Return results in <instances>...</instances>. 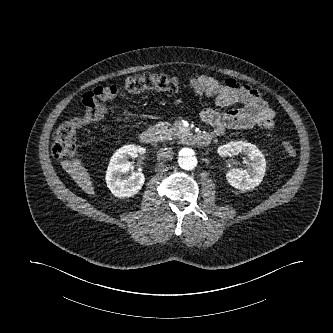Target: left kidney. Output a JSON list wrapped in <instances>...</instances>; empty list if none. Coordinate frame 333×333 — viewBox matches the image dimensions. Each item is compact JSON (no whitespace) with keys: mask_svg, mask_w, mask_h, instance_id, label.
Here are the masks:
<instances>
[{"mask_svg":"<svg viewBox=\"0 0 333 333\" xmlns=\"http://www.w3.org/2000/svg\"><path fill=\"white\" fill-rule=\"evenodd\" d=\"M221 156L244 153L250 160L248 168L240 170L232 168L226 174L229 184L241 191L252 189L260 184L266 171V161L261 151L253 144L245 141H232L218 149Z\"/></svg>","mask_w":333,"mask_h":333,"instance_id":"5707ae66","label":"left kidney"}]
</instances>
